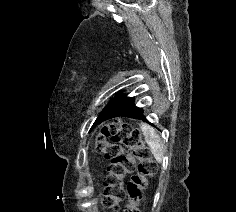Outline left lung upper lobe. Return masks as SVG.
I'll list each match as a JSON object with an SVG mask.
<instances>
[{
    "label": "left lung upper lobe",
    "mask_w": 236,
    "mask_h": 212,
    "mask_svg": "<svg viewBox=\"0 0 236 212\" xmlns=\"http://www.w3.org/2000/svg\"><path fill=\"white\" fill-rule=\"evenodd\" d=\"M106 108V107H105ZM104 111V110H103ZM102 111V112H103ZM102 112L99 114V116H98V118L96 119V121L94 122V124H93V126H92V128L95 126V125H97V124H99V118H100V116H101V114H102Z\"/></svg>",
    "instance_id": "5c2ea615"
}]
</instances>
